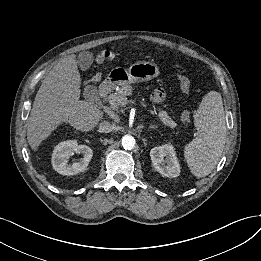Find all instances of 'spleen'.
<instances>
[{
    "label": "spleen",
    "mask_w": 261,
    "mask_h": 261,
    "mask_svg": "<svg viewBox=\"0 0 261 261\" xmlns=\"http://www.w3.org/2000/svg\"><path fill=\"white\" fill-rule=\"evenodd\" d=\"M197 137L184 148L185 160L198 178L211 173L218 163L226 139V123L221 95L210 91L194 115Z\"/></svg>",
    "instance_id": "obj_1"
}]
</instances>
